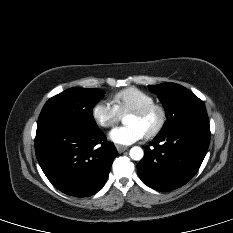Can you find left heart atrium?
<instances>
[{
  "instance_id": "39dd6f15",
  "label": "left heart atrium",
  "mask_w": 233,
  "mask_h": 233,
  "mask_svg": "<svg viewBox=\"0 0 233 233\" xmlns=\"http://www.w3.org/2000/svg\"><path fill=\"white\" fill-rule=\"evenodd\" d=\"M145 132L135 124H128L114 128L109 138L120 145H130L145 137Z\"/></svg>"
}]
</instances>
